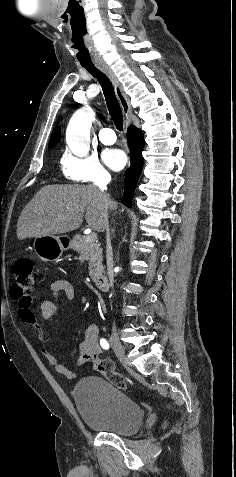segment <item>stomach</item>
<instances>
[{"label":"stomach","mask_w":236,"mask_h":477,"mask_svg":"<svg viewBox=\"0 0 236 477\" xmlns=\"http://www.w3.org/2000/svg\"><path fill=\"white\" fill-rule=\"evenodd\" d=\"M70 243L61 236H41L35 239L34 250L41 260L56 261L70 247Z\"/></svg>","instance_id":"stomach-1"}]
</instances>
